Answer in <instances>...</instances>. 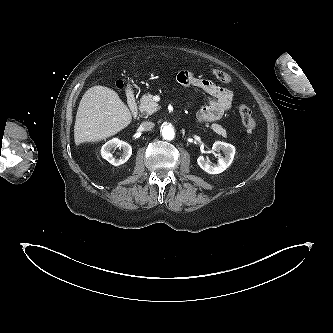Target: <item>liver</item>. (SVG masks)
Masks as SVG:
<instances>
[{
    "label": "liver",
    "mask_w": 333,
    "mask_h": 333,
    "mask_svg": "<svg viewBox=\"0 0 333 333\" xmlns=\"http://www.w3.org/2000/svg\"><path fill=\"white\" fill-rule=\"evenodd\" d=\"M132 121V114L117 92L93 86L83 95L76 114L74 141H100L115 135Z\"/></svg>",
    "instance_id": "6515ba94"
}]
</instances>
